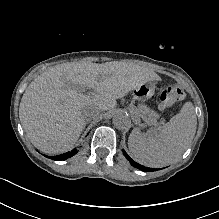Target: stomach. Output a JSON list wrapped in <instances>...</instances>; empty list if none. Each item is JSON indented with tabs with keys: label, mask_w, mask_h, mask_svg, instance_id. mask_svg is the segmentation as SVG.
Listing matches in <instances>:
<instances>
[{
	"label": "stomach",
	"mask_w": 219,
	"mask_h": 219,
	"mask_svg": "<svg viewBox=\"0 0 219 219\" xmlns=\"http://www.w3.org/2000/svg\"><path fill=\"white\" fill-rule=\"evenodd\" d=\"M155 83L145 82L133 90V96L140 101L139 112L142 119L148 124L153 125L157 122L159 115L153 109L144 104L155 92Z\"/></svg>",
	"instance_id": "0dacf381"
}]
</instances>
